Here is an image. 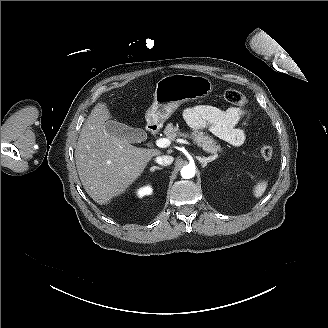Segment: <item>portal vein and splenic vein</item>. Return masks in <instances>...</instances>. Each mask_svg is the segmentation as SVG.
Wrapping results in <instances>:
<instances>
[{"label":"portal vein and splenic vein","instance_id":"obj_1","mask_svg":"<svg viewBox=\"0 0 328 328\" xmlns=\"http://www.w3.org/2000/svg\"><path fill=\"white\" fill-rule=\"evenodd\" d=\"M180 143H185L187 142L185 139H179L178 140ZM170 144L169 140L166 138H158L155 140V145L159 148H166Z\"/></svg>","mask_w":328,"mask_h":328}]
</instances>
